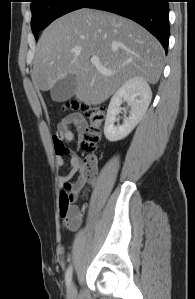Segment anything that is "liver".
Returning a JSON list of instances; mask_svg holds the SVG:
<instances>
[{
    "label": "liver",
    "instance_id": "liver-1",
    "mask_svg": "<svg viewBox=\"0 0 195 299\" xmlns=\"http://www.w3.org/2000/svg\"><path fill=\"white\" fill-rule=\"evenodd\" d=\"M92 57H98L110 74L95 67ZM163 57L159 41L134 21L81 8L56 19L43 31L31 78L37 90L48 91L58 80L74 75L76 98L95 106L133 77L157 83Z\"/></svg>",
    "mask_w": 195,
    "mask_h": 299
}]
</instances>
